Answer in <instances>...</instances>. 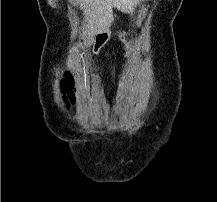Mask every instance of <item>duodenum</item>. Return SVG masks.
<instances>
[{"label":"duodenum","mask_w":217,"mask_h":202,"mask_svg":"<svg viewBox=\"0 0 217 202\" xmlns=\"http://www.w3.org/2000/svg\"><path fill=\"white\" fill-rule=\"evenodd\" d=\"M113 38V34L109 32L100 33L97 36L95 51L100 52L105 45L109 43V41Z\"/></svg>","instance_id":"1"}]
</instances>
